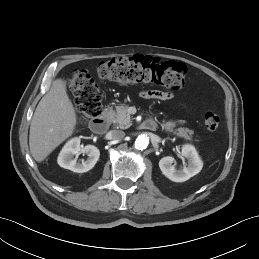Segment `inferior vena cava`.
I'll list each match as a JSON object with an SVG mask.
<instances>
[{
  "label": "inferior vena cava",
  "mask_w": 259,
  "mask_h": 259,
  "mask_svg": "<svg viewBox=\"0 0 259 259\" xmlns=\"http://www.w3.org/2000/svg\"><path fill=\"white\" fill-rule=\"evenodd\" d=\"M108 135H109L110 139L120 140L125 137V132L122 130H111V131H109Z\"/></svg>",
  "instance_id": "1"
}]
</instances>
